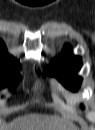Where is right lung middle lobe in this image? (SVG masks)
Listing matches in <instances>:
<instances>
[{
	"mask_svg": "<svg viewBox=\"0 0 95 130\" xmlns=\"http://www.w3.org/2000/svg\"><path fill=\"white\" fill-rule=\"evenodd\" d=\"M19 78V70L0 71V87L8 86L13 91L18 84Z\"/></svg>",
	"mask_w": 95,
	"mask_h": 130,
	"instance_id": "obj_1",
	"label": "right lung middle lobe"
}]
</instances>
